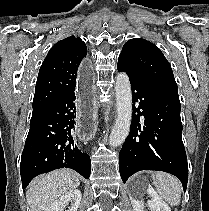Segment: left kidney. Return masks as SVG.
<instances>
[{
	"instance_id": "left-kidney-1",
	"label": "left kidney",
	"mask_w": 209,
	"mask_h": 211,
	"mask_svg": "<svg viewBox=\"0 0 209 211\" xmlns=\"http://www.w3.org/2000/svg\"><path fill=\"white\" fill-rule=\"evenodd\" d=\"M145 192L151 197L147 201V206L151 211H171L170 207L162 200L151 185L145 187ZM142 194L137 184H133L130 187L129 197L134 211H145L144 201L141 199Z\"/></svg>"
}]
</instances>
